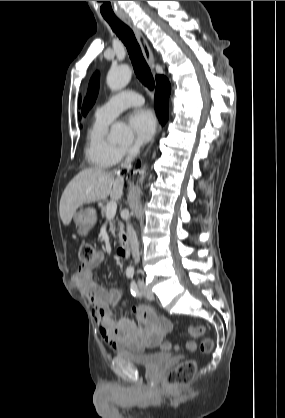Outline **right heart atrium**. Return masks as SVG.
<instances>
[{"instance_id":"right-heart-atrium-1","label":"right heart atrium","mask_w":285,"mask_h":418,"mask_svg":"<svg viewBox=\"0 0 285 418\" xmlns=\"http://www.w3.org/2000/svg\"><path fill=\"white\" fill-rule=\"evenodd\" d=\"M136 152V146L118 147V161L132 156Z\"/></svg>"}]
</instances>
